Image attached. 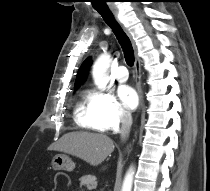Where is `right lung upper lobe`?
<instances>
[{"instance_id":"1","label":"right lung upper lobe","mask_w":210,"mask_h":191,"mask_svg":"<svg viewBox=\"0 0 210 191\" xmlns=\"http://www.w3.org/2000/svg\"><path fill=\"white\" fill-rule=\"evenodd\" d=\"M91 64H92L91 58H87L81 65V67L77 73V77H76V81H75V89L77 87H79V85L84 81Z\"/></svg>"}]
</instances>
